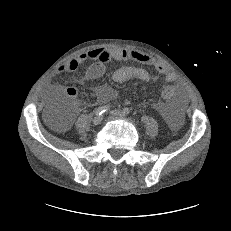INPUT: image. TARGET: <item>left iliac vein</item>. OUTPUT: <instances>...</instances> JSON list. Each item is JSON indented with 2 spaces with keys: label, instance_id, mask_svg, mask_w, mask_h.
<instances>
[{
  "label": "left iliac vein",
  "instance_id": "4c4485c4",
  "mask_svg": "<svg viewBox=\"0 0 231 231\" xmlns=\"http://www.w3.org/2000/svg\"><path fill=\"white\" fill-rule=\"evenodd\" d=\"M112 115L115 117L121 118V119L124 118V114L121 111L116 110V109L112 111Z\"/></svg>",
  "mask_w": 231,
  "mask_h": 231
}]
</instances>
